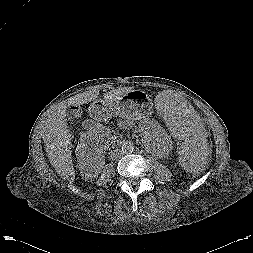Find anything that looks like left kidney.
<instances>
[{
    "instance_id": "left-kidney-1",
    "label": "left kidney",
    "mask_w": 253,
    "mask_h": 253,
    "mask_svg": "<svg viewBox=\"0 0 253 253\" xmlns=\"http://www.w3.org/2000/svg\"><path fill=\"white\" fill-rule=\"evenodd\" d=\"M144 145L157 155H166L171 148V138L155 120H145L139 126Z\"/></svg>"
}]
</instances>
